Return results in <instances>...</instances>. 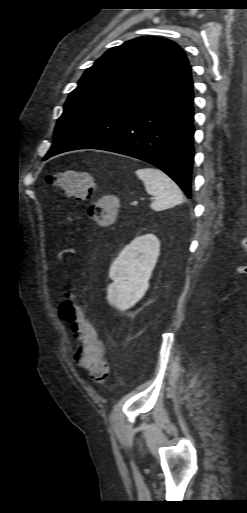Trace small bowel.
I'll use <instances>...</instances> for the list:
<instances>
[{
	"mask_svg": "<svg viewBox=\"0 0 247 513\" xmlns=\"http://www.w3.org/2000/svg\"><path fill=\"white\" fill-rule=\"evenodd\" d=\"M74 252V249L71 247V248H65L63 250H61L58 254H57V258L59 260H62L64 256L68 255V254H72ZM75 361V360H74ZM76 362V361H75Z\"/></svg>",
	"mask_w": 247,
	"mask_h": 513,
	"instance_id": "obj_1",
	"label": "small bowel"
}]
</instances>
